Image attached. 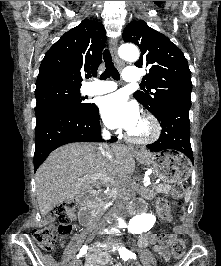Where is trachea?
<instances>
[{"label":"trachea","mask_w":221,"mask_h":266,"mask_svg":"<svg viewBox=\"0 0 221 266\" xmlns=\"http://www.w3.org/2000/svg\"><path fill=\"white\" fill-rule=\"evenodd\" d=\"M103 58L105 62V71L101 74L100 79L105 80L109 77H112L114 80H120V74L118 70L115 68L112 57L108 49H105L103 53ZM91 76H87V78H90Z\"/></svg>","instance_id":"3493384b"}]
</instances>
